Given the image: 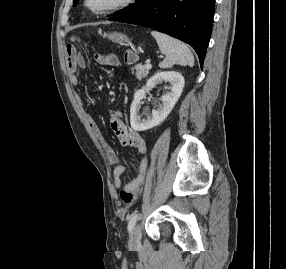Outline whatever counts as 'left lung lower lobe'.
Wrapping results in <instances>:
<instances>
[{
	"instance_id": "left-lung-lower-lobe-1",
	"label": "left lung lower lobe",
	"mask_w": 286,
	"mask_h": 269,
	"mask_svg": "<svg viewBox=\"0 0 286 269\" xmlns=\"http://www.w3.org/2000/svg\"><path fill=\"white\" fill-rule=\"evenodd\" d=\"M215 0H149L134 14L114 20L148 27L191 45L203 66L209 44Z\"/></svg>"
}]
</instances>
